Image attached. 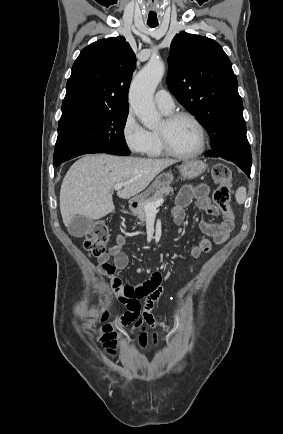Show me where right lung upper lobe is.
<instances>
[{"mask_svg":"<svg viewBox=\"0 0 283 434\" xmlns=\"http://www.w3.org/2000/svg\"><path fill=\"white\" fill-rule=\"evenodd\" d=\"M135 65V54L124 37L101 39L85 47L67 81L61 117L128 110Z\"/></svg>","mask_w":283,"mask_h":434,"instance_id":"right-lung-upper-lobe-1","label":"right lung upper lobe"}]
</instances>
